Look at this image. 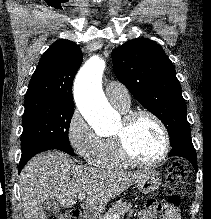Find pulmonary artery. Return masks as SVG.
I'll return each mask as SVG.
<instances>
[{"label":"pulmonary artery","mask_w":211,"mask_h":219,"mask_svg":"<svg viewBox=\"0 0 211 219\" xmlns=\"http://www.w3.org/2000/svg\"><path fill=\"white\" fill-rule=\"evenodd\" d=\"M105 93L108 101L117 108H129L131 103L127 88L118 81H110L105 85Z\"/></svg>","instance_id":"pulmonary-artery-1"}]
</instances>
